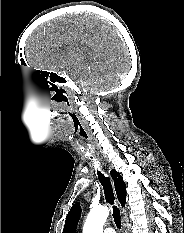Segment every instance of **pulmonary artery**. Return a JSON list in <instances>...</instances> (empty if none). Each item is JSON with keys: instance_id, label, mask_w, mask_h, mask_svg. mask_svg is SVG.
<instances>
[{"instance_id": "obj_1", "label": "pulmonary artery", "mask_w": 184, "mask_h": 233, "mask_svg": "<svg viewBox=\"0 0 184 233\" xmlns=\"http://www.w3.org/2000/svg\"><path fill=\"white\" fill-rule=\"evenodd\" d=\"M104 233H116L115 232V230L113 229V228H106L105 230H104Z\"/></svg>"}]
</instances>
